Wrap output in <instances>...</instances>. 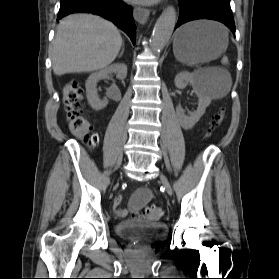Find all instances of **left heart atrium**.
I'll return each instance as SVG.
<instances>
[{
    "instance_id": "left-heart-atrium-1",
    "label": "left heart atrium",
    "mask_w": 279,
    "mask_h": 279,
    "mask_svg": "<svg viewBox=\"0 0 279 279\" xmlns=\"http://www.w3.org/2000/svg\"><path fill=\"white\" fill-rule=\"evenodd\" d=\"M128 1L141 2V3H152V2H155L157 0H128Z\"/></svg>"
}]
</instances>
